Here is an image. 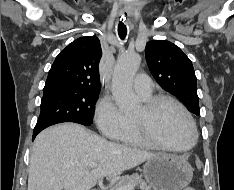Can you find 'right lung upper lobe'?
<instances>
[{
	"instance_id": "obj_1",
	"label": "right lung upper lobe",
	"mask_w": 234,
	"mask_h": 190,
	"mask_svg": "<svg viewBox=\"0 0 234 190\" xmlns=\"http://www.w3.org/2000/svg\"><path fill=\"white\" fill-rule=\"evenodd\" d=\"M101 56L100 42L96 36L76 39L56 57L44 88L100 91L98 64Z\"/></svg>"
}]
</instances>
